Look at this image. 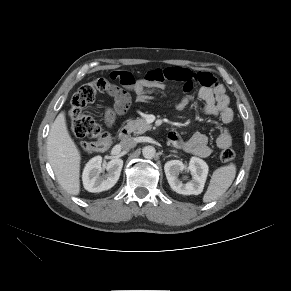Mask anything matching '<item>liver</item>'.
Segmentation results:
<instances>
[{
	"label": "liver",
	"instance_id": "1",
	"mask_svg": "<svg viewBox=\"0 0 291 291\" xmlns=\"http://www.w3.org/2000/svg\"><path fill=\"white\" fill-rule=\"evenodd\" d=\"M47 156L62 188L69 194L78 195L81 155L69 134L64 111L58 114L51 125L47 138Z\"/></svg>",
	"mask_w": 291,
	"mask_h": 291
}]
</instances>
